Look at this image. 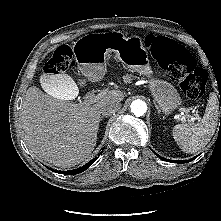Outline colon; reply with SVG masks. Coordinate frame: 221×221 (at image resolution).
Masks as SVG:
<instances>
[{
    "label": "colon",
    "instance_id": "colon-1",
    "mask_svg": "<svg viewBox=\"0 0 221 221\" xmlns=\"http://www.w3.org/2000/svg\"><path fill=\"white\" fill-rule=\"evenodd\" d=\"M144 42L145 46L151 49L159 66L179 82L188 98L196 100L203 97L206 91L207 74L197 66L195 58L188 50L162 36L148 35ZM74 65L72 48L68 45H60L51 54L45 71L60 74L69 71Z\"/></svg>",
    "mask_w": 221,
    "mask_h": 221
}]
</instances>
